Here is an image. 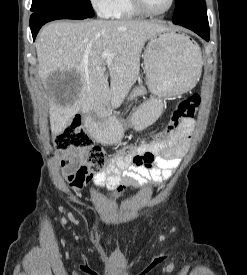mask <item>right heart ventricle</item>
I'll return each mask as SVG.
<instances>
[{"label":"right heart ventricle","mask_w":247,"mask_h":275,"mask_svg":"<svg viewBox=\"0 0 247 275\" xmlns=\"http://www.w3.org/2000/svg\"><path fill=\"white\" fill-rule=\"evenodd\" d=\"M142 16L143 13L135 7L132 0H113L109 17L114 19H131Z\"/></svg>","instance_id":"e07e8e85"}]
</instances>
